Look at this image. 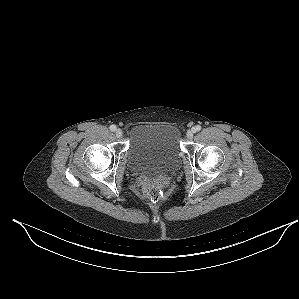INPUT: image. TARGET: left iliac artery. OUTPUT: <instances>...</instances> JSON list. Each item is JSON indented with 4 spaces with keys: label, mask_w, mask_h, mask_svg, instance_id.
Returning a JSON list of instances; mask_svg holds the SVG:
<instances>
[{
    "label": "left iliac artery",
    "mask_w": 299,
    "mask_h": 299,
    "mask_svg": "<svg viewBox=\"0 0 299 299\" xmlns=\"http://www.w3.org/2000/svg\"><path fill=\"white\" fill-rule=\"evenodd\" d=\"M194 132H198L201 130V126L200 125H196L195 127H193Z\"/></svg>",
    "instance_id": "44dca946"
}]
</instances>
